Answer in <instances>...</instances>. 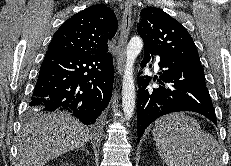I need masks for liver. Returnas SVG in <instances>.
<instances>
[{
  "label": "liver",
  "mask_w": 231,
  "mask_h": 166,
  "mask_svg": "<svg viewBox=\"0 0 231 166\" xmlns=\"http://www.w3.org/2000/svg\"><path fill=\"white\" fill-rule=\"evenodd\" d=\"M89 139V130L68 113L35 117L21 130L19 166H44L56 157L83 147Z\"/></svg>",
  "instance_id": "1"
}]
</instances>
